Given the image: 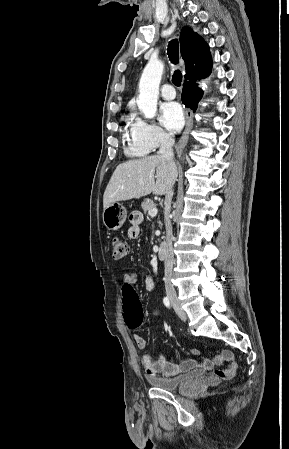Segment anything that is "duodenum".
Listing matches in <instances>:
<instances>
[{"instance_id": "obj_1", "label": "duodenum", "mask_w": 289, "mask_h": 449, "mask_svg": "<svg viewBox=\"0 0 289 449\" xmlns=\"http://www.w3.org/2000/svg\"><path fill=\"white\" fill-rule=\"evenodd\" d=\"M167 248H168V245L166 242L162 241L159 243L158 248H157V255H158L159 259L163 260L166 258Z\"/></svg>"}]
</instances>
